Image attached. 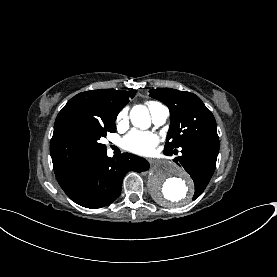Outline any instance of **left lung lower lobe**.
Wrapping results in <instances>:
<instances>
[{
  "label": "left lung lower lobe",
  "instance_id": "0a47b994",
  "mask_svg": "<svg viewBox=\"0 0 277 277\" xmlns=\"http://www.w3.org/2000/svg\"><path fill=\"white\" fill-rule=\"evenodd\" d=\"M219 146V139L203 138L181 146L182 155L174 159L176 163L180 162L192 177L197 197L204 191L213 175ZM175 151L178 152L174 149Z\"/></svg>",
  "mask_w": 277,
  "mask_h": 277
}]
</instances>
